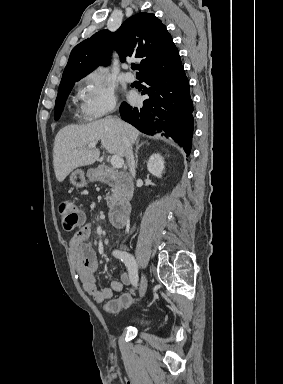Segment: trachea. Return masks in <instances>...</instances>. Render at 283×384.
I'll return each instance as SVG.
<instances>
[{
    "label": "trachea",
    "instance_id": "obj_1",
    "mask_svg": "<svg viewBox=\"0 0 283 384\" xmlns=\"http://www.w3.org/2000/svg\"><path fill=\"white\" fill-rule=\"evenodd\" d=\"M131 68H132L133 70H136L138 67H137L136 65H133Z\"/></svg>",
    "mask_w": 283,
    "mask_h": 384
}]
</instances>
